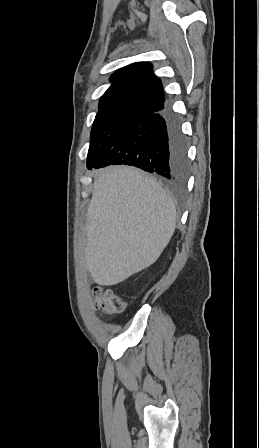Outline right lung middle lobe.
Instances as JSON below:
<instances>
[{
  "label": "right lung middle lobe",
  "mask_w": 259,
  "mask_h": 448,
  "mask_svg": "<svg viewBox=\"0 0 259 448\" xmlns=\"http://www.w3.org/2000/svg\"><path fill=\"white\" fill-rule=\"evenodd\" d=\"M139 113H98L93 122L90 147L87 156V168L90 169L106 147L128 126Z\"/></svg>",
  "instance_id": "dd1d6c3e"
}]
</instances>
